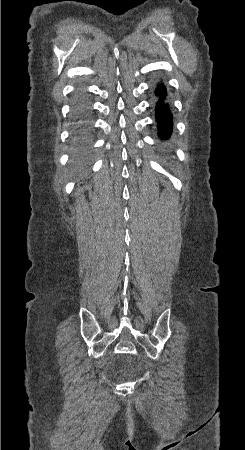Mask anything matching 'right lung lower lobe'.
<instances>
[{"mask_svg":"<svg viewBox=\"0 0 245 450\" xmlns=\"http://www.w3.org/2000/svg\"><path fill=\"white\" fill-rule=\"evenodd\" d=\"M88 109L84 102L80 101L76 107V114L84 119L87 115ZM76 142L73 152V159L75 166L78 168H84L89 161V139L87 137L86 126L80 124L75 134Z\"/></svg>","mask_w":245,"mask_h":450,"instance_id":"obj_1","label":"right lung lower lobe"}]
</instances>
